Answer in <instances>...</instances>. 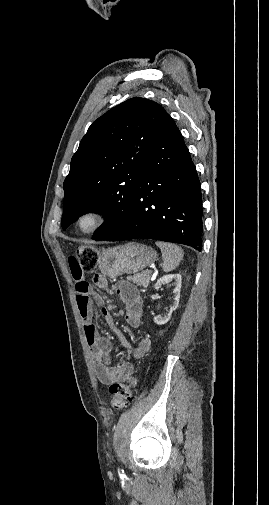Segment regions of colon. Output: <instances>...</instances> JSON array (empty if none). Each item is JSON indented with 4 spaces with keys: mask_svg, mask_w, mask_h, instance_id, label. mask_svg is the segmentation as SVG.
<instances>
[{
    "mask_svg": "<svg viewBox=\"0 0 269 505\" xmlns=\"http://www.w3.org/2000/svg\"><path fill=\"white\" fill-rule=\"evenodd\" d=\"M70 259H79L83 274H93L98 262V250L95 246L80 245L76 254ZM137 378L131 377L126 383H113L109 387L112 407L116 410L124 408L134 398Z\"/></svg>",
    "mask_w": 269,
    "mask_h": 505,
    "instance_id": "obj_1",
    "label": "colon"
}]
</instances>
